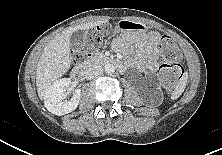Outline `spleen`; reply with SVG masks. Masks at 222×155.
Returning <instances> with one entry per match:
<instances>
[{"mask_svg": "<svg viewBox=\"0 0 222 155\" xmlns=\"http://www.w3.org/2000/svg\"><path fill=\"white\" fill-rule=\"evenodd\" d=\"M188 82V73H184V75L180 78L178 84L175 87V90L172 92L171 100L174 101L179 98L184 92L186 85Z\"/></svg>", "mask_w": 222, "mask_h": 155, "instance_id": "obj_1", "label": "spleen"}]
</instances>
